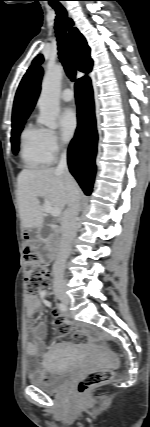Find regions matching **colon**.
<instances>
[{
  "mask_svg": "<svg viewBox=\"0 0 150 427\" xmlns=\"http://www.w3.org/2000/svg\"><path fill=\"white\" fill-rule=\"evenodd\" d=\"M25 271V291L29 296H36L51 285V270L41 261L40 257L32 251L30 245H26L25 248ZM113 377L114 372L110 369L90 372L78 382L77 392L79 395H84L91 389L107 383Z\"/></svg>",
  "mask_w": 150,
  "mask_h": 427,
  "instance_id": "1",
  "label": "colon"
}]
</instances>
